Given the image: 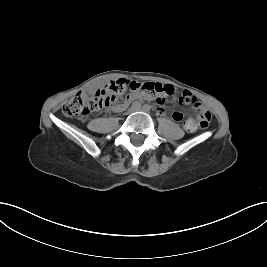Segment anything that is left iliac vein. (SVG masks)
<instances>
[{"mask_svg": "<svg viewBox=\"0 0 267 267\" xmlns=\"http://www.w3.org/2000/svg\"><path fill=\"white\" fill-rule=\"evenodd\" d=\"M141 110H142V111H144V112H146V110H145V109H143V108H142Z\"/></svg>", "mask_w": 267, "mask_h": 267, "instance_id": "4c4485c4", "label": "left iliac vein"}]
</instances>
